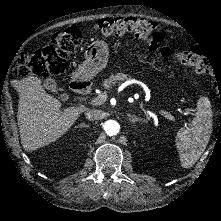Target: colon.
<instances>
[{
    "label": "colon",
    "instance_id": "obj_1",
    "mask_svg": "<svg viewBox=\"0 0 221 221\" xmlns=\"http://www.w3.org/2000/svg\"><path fill=\"white\" fill-rule=\"evenodd\" d=\"M95 30L105 36L130 33L136 39L142 40L150 51H156L164 40L163 33L153 21L138 17L104 18L96 23ZM82 39V33L74 28L52 34L49 39L50 46L18 57L13 74L19 78L35 76L50 79L52 75L62 73L68 67L66 57L76 51ZM163 54L194 67L199 74L211 71L209 59L199 50H174L165 47Z\"/></svg>",
    "mask_w": 221,
    "mask_h": 221
}]
</instances>
